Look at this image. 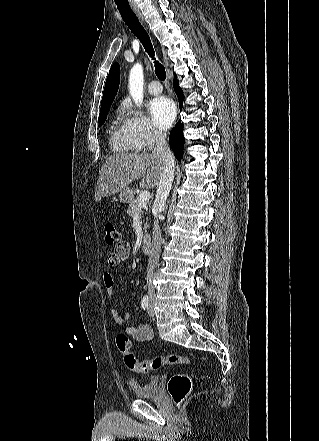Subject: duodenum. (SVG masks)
Segmentation results:
<instances>
[{"mask_svg":"<svg viewBox=\"0 0 319 441\" xmlns=\"http://www.w3.org/2000/svg\"><path fill=\"white\" fill-rule=\"evenodd\" d=\"M142 251L145 254H149L152 250V240H151V236L150 235H144L143 239H142Z\"/></svg>","mask_w":319,"mask_h":441,"instance_id":"duodenum-1","label":"duodenum"}]
</instances>
